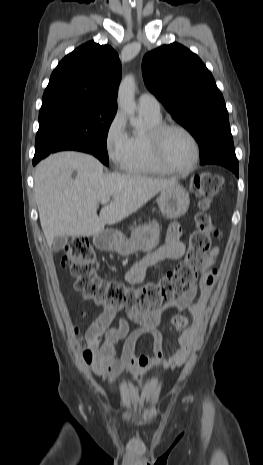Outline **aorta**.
Masks as SVG:
<instances>
[{
	"instance_id": "762f6f07",
	"label": "aorta",
	"mask_w": 263,
	"mask_h": 465,
	"mask_svg": "<svg viewBox=\"0 0 263 465\" xmlns=\"http://www.w3.org/2000/svg\"><path fill=\"white\" fill-rule=\"evenodd\" d=\"M135 79L133 75H128L122 79L118 90V105L129 115L130 125L134 128H140L142 121L135 117Z\"/></svg>"
}]
</instances>
